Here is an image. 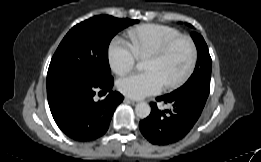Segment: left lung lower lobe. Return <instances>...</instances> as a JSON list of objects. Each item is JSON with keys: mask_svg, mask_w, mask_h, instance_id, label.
<instances>
[{"mask_svg": "<svg viewBox=\"0 0 261 162\" xmlns=\"http://www.w3.org/2000/svg\"><path fill=\"white\" fill-rule=\"evenodd\" d=\"M208 95L198 90H181L158 97L173 105L161 111L151 103L150 115L139 123L144 137L156 145H168L182 139L193 128L205 106Z\"/></svg>", "mask_w": 261, "mask_h": 162, "instance_id": "obj_1", "label": "left lung lower lobe"}]
</instances>
